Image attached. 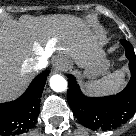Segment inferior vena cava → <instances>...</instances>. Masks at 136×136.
Instances as JSON below:
<instances>
[{
    "label": "inferior vena cava",
    "instance_id": "inferior-vena-cava-1",
    "mask_svg": "<svg viewBox=\"0 0 136 136\" xmlns=\"http://www.w3.org/2000/svg\"><path fill=\"white\" fill-rule=\"evenodd\" d=\"M48 64V61L45 57H39L33 64V70L38 71L45 68Z\"/></svg>",
    "mask_w": 136,
    "mask_h": 136
}]
</instances>
